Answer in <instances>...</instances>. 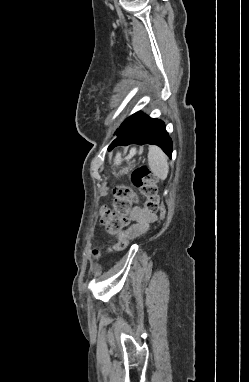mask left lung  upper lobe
<instances>
[{"label": "left lung upper lobe", "instance_id": "left-lung-upper-lobe-1", "mask_svg": "<svg viewBox=\"0 0 249 382\" xmlns=\"http://www.w3.org/2000/svg\"><path fill=\"white\" fill-rule=\"evenodd\" d=\"M144 114H142L141 112H137L133 115H131L130 117H128L123 123L122 125L119 127V129L116 131V135H118L119 133H123L125 131H127L128 129H130Z\"/></svg>", "mask_w": 249, "mask_h": 382}]
</instances>
